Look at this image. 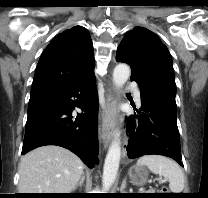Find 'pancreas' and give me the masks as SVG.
<instances>
[{"mask_svg":"<svg viewBox=\"0 0 208 198\" xmlns=\"http://www.w3.org/2000/svg\"><path fill=\"white\" fill-rule=\"evenodd\" d=\"M147 193H154V191L153 190H150V191H147Z\"/></svg>","mask_w":208,"mask_h":198,"instance_id":"obj_1","label":"pancreas"}]
</instances>
